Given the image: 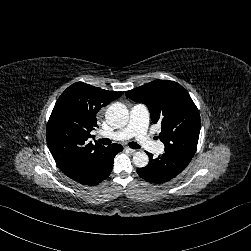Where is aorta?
<instances>
[{"label":"aorta","mask_w":251,"mask_h":251,"mask_svg":"<svg viewBox=\"0 0 251 251\" xmlns=\"http://www.w3.org/2000/svg\"><path fill=\"white\" fill-rule=\"evenodd\" d=\"M106 122L114 128H123L129 121V111L127 107L116 102L111 104L105 114ZM149 162V157L145 152H135L133 154V163L138 168L146 167Z\"/></svg>","instance_id":"762f6f07"}]
</instances>
